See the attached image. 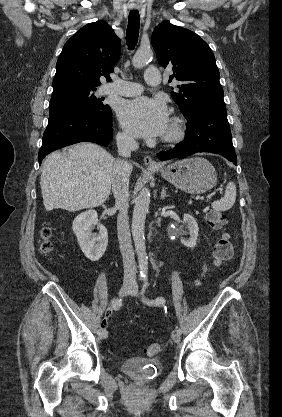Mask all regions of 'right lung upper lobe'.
<instances>
[{"mask_svg": "<svg viewBox=\"0 0 282 417\" xmlns=\"http://www.w3.org/2000/svg\"><path fill=\"white\" fill-rule=\"evenodd\" d=\"M121 42L104 21L89 23L64 45L56 64L53 93L96 88L120 57Z\"/></svg>", "mask_w": 282, "mask_h": 417, "instance_id": "right-lung-upper-lobe-1", "label": "right lung upper lobe"}]
</instances>
